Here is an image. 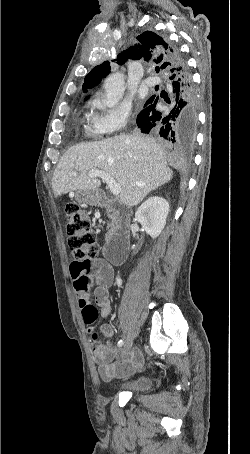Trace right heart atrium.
Listing matches in <instances>:
<instances>
[{
    "instance_id": "1",
    "label": "right heart atrium",
    "mask_w": 250,
    "mask_h": 454,
    "mask_svg": "<svg viewBox=\"0 0 250 454\" xmlns=\"http://www.w3.org/2000/svg\"><path fill=\"white\" fill-rule=\"evenodd\" d=\"M131 108L128 104H118L104 109L96 116V127L101 134H113L122 131L130 118Z\"/></svg>"
}]
</instances>
